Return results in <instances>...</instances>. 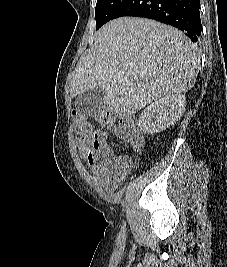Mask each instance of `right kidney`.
<instances>
[{"instance_id": "obj_1", "label": "right kidney", "mask_w": 227, "mask_h": 267, "mask_svg": "<svg viewBox=\"0 0 227 267\" xmlns=\"http://www.w3.org/2000/svg\"><path fill=\"white\" fill-rule=\"evenodd\" d=\"M186 98L181 94L166 95L147 106L139 117L144 134L159 133L175 124L183 115Z\"/></svg>"}]
</instances>
